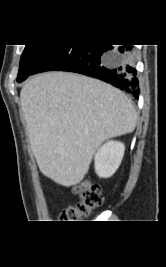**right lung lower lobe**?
<instances>
[{"label":"right lung lower lobe","instance_id":"1","mask_svg":"<svg viewBox=\"0 0 166 267\" xmlns=\"http://www.w3.org/2000/svg\"><path fill=\"white\" fill-rule=\"evenodd\" d=\"M45 71H69L91 76L135 99L139 98V80L130 45H57L32 74Z\"/></svg>","mask_w":166,"mask_h":267}]
</instances>
